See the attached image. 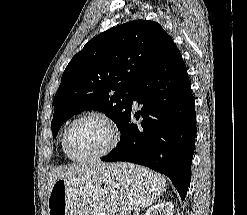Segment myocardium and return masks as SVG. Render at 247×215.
Instances as JSON below:
<instances>
[{
	"instance_id": "myocardium-1",
	"label": "myocardium",
	"mask_w": 247,
	"mask_h": 215,
	"mask_svg": "<svg viewBox=\"0 0 247 215\" xmlns=\"http://www.w3.org/2000/svg\"><path fill=\"white\" fill-rule=\"evenodd\" d=\"M87 118H93V119L99 120L102 123H104L111 132V140L109 144L107 145V147L98 153L87 155V156H81V157L75 156L71 152V149H70V144H69L70 133H71L72 128L77 122L83 119H87ZM119 141H120V132L116 124L109 117L99 112H86V113H83L77 116L74 120L71 121V123L68 125L64 133L65 151L70 159L74 161H78V162L98 160V159L106 157L117 147Z\"/></svg>"
}]
</instances>
